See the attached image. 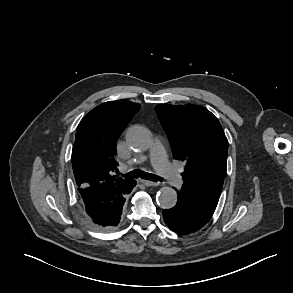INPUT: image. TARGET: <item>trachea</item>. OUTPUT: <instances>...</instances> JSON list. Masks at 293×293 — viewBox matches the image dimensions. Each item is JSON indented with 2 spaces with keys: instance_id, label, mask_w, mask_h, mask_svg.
<instances>
[{
  "instance_id": "trachea-1",
  "label": "trachea",
  "mask_w": 293,
  "mask_h": 293,
  "mask_svg": "<svg viewBox=\"0 0 293 293\" xmlns=\"http://www.w3.org/2000/svg\"><path fill=\"white\" fill-rule=\"evenodd\" d=\"M123 177H125V178H139V177H141L143 179H148V180H152V181L161 180L159 177H157L153 174L141 171L139 169H135L131 172H128V173L124 174Z\"/></svg>"
}]
</instances>
